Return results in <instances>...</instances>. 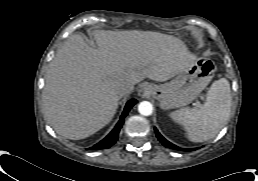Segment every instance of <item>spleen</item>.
I'll return each instance as SVG.
<instances>
[{
	"mask_svg": "<svg viewBox=\"0 0 258 181\" xmlns=\"http://www.w3.org/2000/svg\"><path fill=\"white\" fill-rule=\"evenodd\" d=\"M231 102L230 84L227 79L221 78L212 83L202 106L174 111L170 117L184 127L190 141L204 142L215 137L223 128L230 115Z\"/></svg>",
	"mask_w": 258,
	"mask_h": 181,
	"instance_id": "obj_1",
	"label": "spleen"
}]
</instances>
